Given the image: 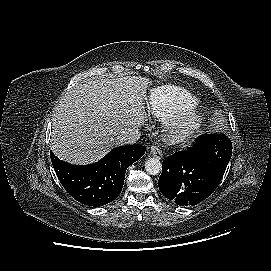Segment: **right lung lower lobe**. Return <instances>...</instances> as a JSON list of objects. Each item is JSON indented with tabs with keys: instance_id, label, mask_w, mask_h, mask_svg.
I'll list each match as a JSON object with an SVG mask.
<instances>
[{
	"instance_id": "right-lung-lower-lobe-1",
	"label": "right lung lower lobe",
	"mask_w": 271,
	"mask_h": 271,
	"mask_svg": "<svg viewBox=\"0 0 271 271\" xmlns=\"http://www.w3.org/2000/svg\"><path fill=\"white\" fill-rule=\"evenodd\" d=\"M145 148L139 145L114 148L105 157L89 165H71L50 152L56 175L65 190L78 202L103 206L122 191L126 169L139 160Z\"/></svg>"
}]
</instances>
